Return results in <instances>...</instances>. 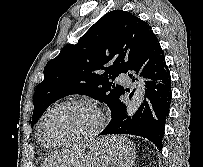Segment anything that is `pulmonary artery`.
Masks as SVG:
<instances>
[{
	"label": "pulmonary artery",
	"instance_id": "obj_1",
	"mask_svg": "<svg viewBox=\"0 0 203 167\" xmlns=\"http://www.w3.org/2000/svg\"><path fill=\"white\" fill-rule=\"evenodd\" d=\"M118 80L120 82H123V83H126V84H130L131 83L130 77L127 74H125V73L119 74Z\"/></svg>",
	"mask_w": 203,
	"mask_h": 167
}]
</instances>
